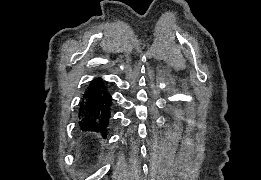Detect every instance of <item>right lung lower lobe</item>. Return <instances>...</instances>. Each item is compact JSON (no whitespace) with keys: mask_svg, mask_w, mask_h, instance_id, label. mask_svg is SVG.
<instances>
[{"mask_svg":"<svg viewBox=\"0 0 261 180\" xmlns=\"http://www.w3.org/2000/svg\"><path fill=\"white\" fill-rule=\"evenodd\" d=\"M112 97L101 78L93 80L84 92L79 106V124L103 136L111 116Z\"/></svg>","mask_w":261,"mask_h":180,"instance_id":"right-lung-lower-lobe-1","label":"right lung lower lobe"}]
</instances>
